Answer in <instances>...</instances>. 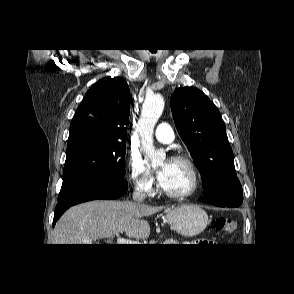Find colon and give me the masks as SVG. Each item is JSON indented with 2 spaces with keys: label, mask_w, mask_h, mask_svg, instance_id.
I'll return each mask as SVG.
<instances>
[{
  "label": "colon",
  "mask_w": 294,
  "mask_h": 294,
  "mask_svg": "<svg viewBox=\"0 0 294 294\" xmlns=\"http://www.w3.org/2000/svg\"><path fill=\"white\" fill-rule=\"evenodd\" d=\"M212 227L223 234L230 235L237 228V222L230 218H216L211 223Z\"/></svg>",
  "instance_id": "1"
}]
</instances>
